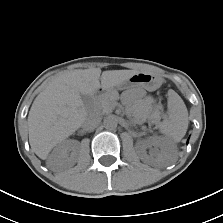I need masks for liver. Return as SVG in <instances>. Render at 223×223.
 I'll return each mask as SVG.
<instances>
[{"instance_id":"obj_1","label":"liver","mask_w":223,"mask_h":223,"mask_svg":"<svg viewBox=\"0 0 223 223\" xmlns=\"http://www.w3.org/2000/svg\"><path fill=\"white\" fill-rule=\"evenodd\" d=\"M136 73L109 70L101 75L99 68H90L65 72L54 78L35 98L29 111V143L35 154L45 160L53 147L84 124L87 111L81 94L92 96L100 88L111 89Z\"/></svg>"}]
</instances>
